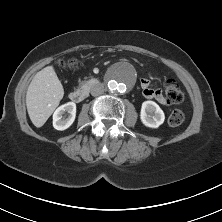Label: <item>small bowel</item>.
I'll list each match as a JSON object with an SVG mask.
<instances>
[{
    "label": "small bowel",
    "instance_id": "obj_1",
    "mask_svg": "<svg viewBox=\"0 0 222 222\" xmlns=\"http://www.w3.org/2000/svg\"><path fill=\"white\" fill-rule=\"evenodd\" d=\"M140 85L143 91V95L147 99H154L159 103L166 105V100L164 99L161 91L159 89H155L151 86L150 81L147 78H142L140 80Z\"/></svg>",
    "mask_w": 222,
    "mask_h": 222
}]
</instances>
